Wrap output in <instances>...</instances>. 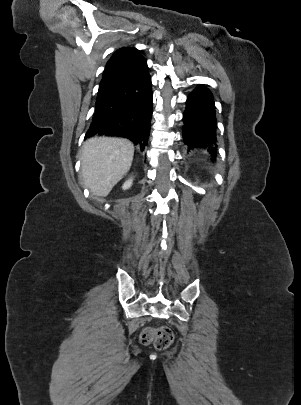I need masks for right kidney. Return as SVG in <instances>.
Returning <instances> with one entry per match:
<instances>
[{
    "label": "right kidney",
    "mask_w": 301,
    "mask_h": 405,
    "mask_svg": "<svg viewBox=\"0 0 301 405\" xmlns=\"http://www.w3.org/2000/svg\"><path fill=\"white\" fill-rule=\"evenodd\" d=\"M132 183H133V180H132V179H128V180L125 181V183L123 184L122 189H123V190L129 189V188L131 187Z\"/></svg>",
    "instance_id": "1"
}]
</instances>
